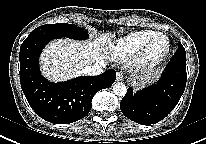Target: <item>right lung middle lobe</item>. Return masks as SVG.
Returning a JSON list of instances; mask_svg holds the SVG:
<instances>
[{"label": "right lung middle lobe", "mask_w": 206, "mask_h": 144, "mask_svg": "<svg viewBox=\"0 0 206 144\" xmlns=\"http://www.w3.org/2000/svg\"><path fill=\"white\" fill-rule=\"evenodd\" d=\"M30 35H45L51 38H70L76 40H84L88 38L86 30L77 27L74 24L59 23V24H46L34 29Z\"/></svg>", "instance_id": "dd1d6c3e"}]
</instances>
